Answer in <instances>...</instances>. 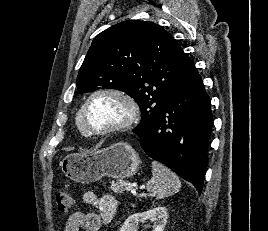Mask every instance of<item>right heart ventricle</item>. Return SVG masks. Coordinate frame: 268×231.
I'll list each match as a JSON object with an SVG mask.
<instances>
[{
  "instance_id": "obj_1",
  "label": "right heart ventricle",
  "mask_w": 268,
  "mask_h": 231,
  "mask_svg": "<svg viewBox=\"0 0 268 231\" xmlns=\"http://www.w3.org/2000/svg\"><path fill=\"white\" fill-rule=\"evenodd\" d=\"M76 125L78 130L82 133V134H87L85 127L83 125L82 122V117H81V110H78V112L76 113Z\"/></svg>"
}]
</instances>
